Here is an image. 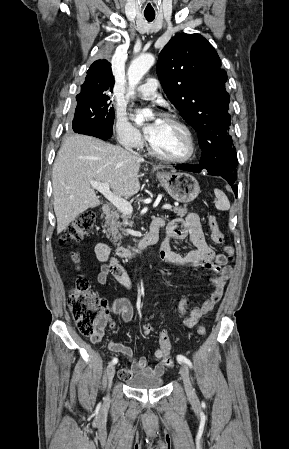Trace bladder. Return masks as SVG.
I'll list each match as a JSON object with an SVG mask.
<instances>
[{
    "mask_svg": "<svg viewBox=\"0 0 289 449\" xmlns=\"http://www.w3.org/2000/svg\"><path fill=\"white\" fill-rule=\"evenodd\" d=\"M126 384L134 389L160 388L165 384L164 377L160 375H149L138 373L126 381Z\"/></svg>",
    "mask_w": 289,
    "mask_h": 449,
    "instance_id": "obj_1",
    "label": "bladder"
}]
</instances>
